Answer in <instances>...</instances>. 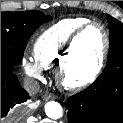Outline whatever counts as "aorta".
<instances>
[{
	"label": "aorta",
	"mask_w": 123,
	"mask_h": 123,
	"mask_svg": "<svg viewBox=\"0 0 123 123\" xmlns=\"http://www.w3.org/2000/svg\"><path fill=\"white\" fill-rule=\"evenodd\" d=\"M45 113L51 119H59L63 115L62 106L55 101H49L45 104Z\"/></svg>",
	"instance_id": "obj_1"
}]
</instances>
